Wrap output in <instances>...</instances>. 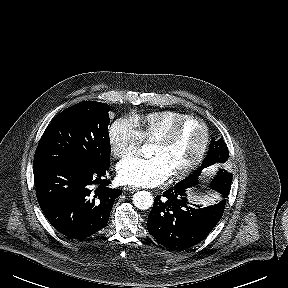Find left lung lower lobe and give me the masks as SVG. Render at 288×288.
<instances>
[{"instance_id":"left-lung-lower-lobe-1","label":"left lung lower lobe","mask_w":288,"mask_h":288,"mask_svg":"<svg viewBox=\"0 0 288 288\" xmlns=\"http://www.w3.org/2000/svg\"><path fill=\"white\" fill-rule=\"evenodd\" d=\"M193 185L177 183L155 198L147 221L149 233L158 243L170 250H183L202 241L223 215L225 198L210 207L192 205L186 198V189ZM216 190V189H215Z\"/></svg>"}]
</instances>
